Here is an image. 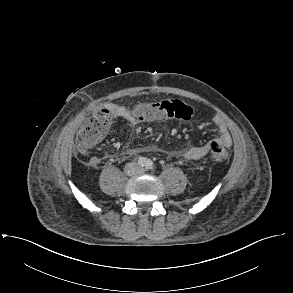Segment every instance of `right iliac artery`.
<instances>
[{
	"label": "right iliac artery",
	"mask_w": 293,
	"mask_h": 293,
	"mask_svg": "<svg viewBox=\"0 0 293 293\" xmlns=\"http://www.w3.org/2000/svg\"><path fill=\"white\" fill-rule=\"evenodd\" d=\"M146 162H147V159L144 157H139L137 160V164L140 166H145Z\"/></svg>",
	"instance_id": "1"
}]
</instances>
